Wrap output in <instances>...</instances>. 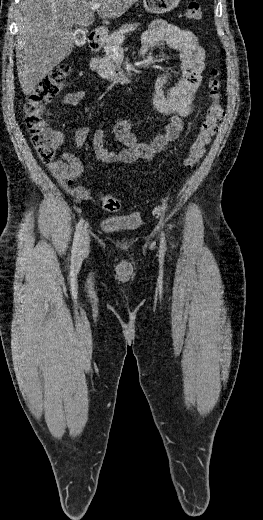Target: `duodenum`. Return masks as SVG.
I'll use <instances>...</instances> for the list:
<instances>
[{"label":"duodenum","mask_w":263,"mask_h":520,"mask_svg":"<svg viewBox=\"0 0 263 520\" xmlns=\"http://www.w3.org/2000/svg\"><path fill=\"white\" fill-rule=\"evenodd\" d=\"M88 45L89 49L92 52H97L101 47V33L99 31H93L88 38ZM90 80L92 82H96L97 78L92 74L89 73Z\"/></svg>","instance_id":"410a0bca"}]
</instances>
